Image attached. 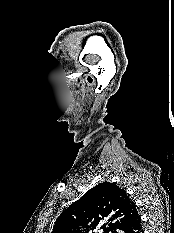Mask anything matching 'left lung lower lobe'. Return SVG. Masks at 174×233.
<instances>
[{
  "label": "left lung lower lobe",
  "mask_w": 174,
  "mask_h": 233,
  "mask_svg": "<svg viewBox=\"0 0 174 233\" xmlns=\"http://www.w3.org/2000/svg\"><path fill=\"white\" fill-rule=\"evenodd\" d=\"M119 233H143V228L141 225V219L137 213L133 218H131L126 224H124Z\"/></svg>",
  "instance_id": "1"
}]
</instances>
